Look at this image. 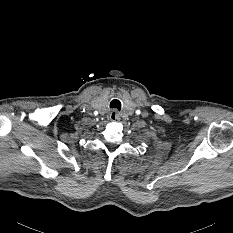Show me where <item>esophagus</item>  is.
<instances>
[{
  "mask_svg": "<svg viewBox=\"0 0 233 233\" xmlns=\"http://www.w3.org/2000/svg\"><path fill=\"white\" fill-rule=\"evenodd\" d=\"M109 118L113 122H117L120 120V113L117 110H112L109 114Z\"/></svg>",
  "mask_w": 233,
  "mask_h": 233,
  "instance_id": "esophagus-1",
  "label": "esophagus"
}]
</instances>
